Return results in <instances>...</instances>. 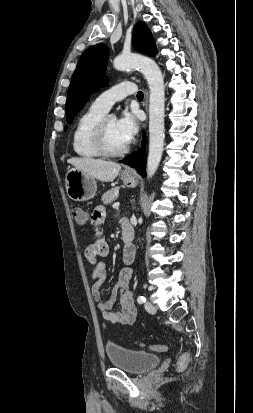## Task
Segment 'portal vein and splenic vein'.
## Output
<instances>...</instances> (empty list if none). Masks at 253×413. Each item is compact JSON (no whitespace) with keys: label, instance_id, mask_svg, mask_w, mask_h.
Segmentation results:
<instances>
[{"label":"portal vein and splenic vein","instance_id":"portal-vein-and-splenic-vein-1","mask_svg":"<svg viewBox=\"0 0 253 413\" xmlns=\"http://www.w3.org/2000/svg\"><path fill=\"white\" fill-rule=\"evenodd\" d=\"M119 205H120V203H119V202H116V203H114V204H113V206H112V207L116 209V208H118V207H119Z\"/></svg>","mask_w":253,"mask_h":413}]
</instances>
